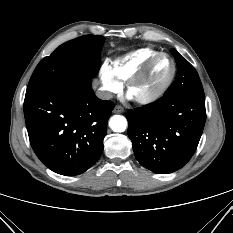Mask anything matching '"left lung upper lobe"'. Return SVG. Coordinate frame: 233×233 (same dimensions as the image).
I'll return each mask as SVG.
<instances>
[{
	"label": "left lung upper lobe",
	"instance_id": "5c2ea615",
	"mask_svg": "<svg viewBox=\"0 0 233 233\" xmlns=\"http://www.w3.org/2000/svg\"><path fill=\"white\" fill-rule=\"evenodd\" d=\"M172 51L177 63V75L175 81L165 92L164 96H204L203 87L195 68L175 49Z\"/></svg>",
	"mask_w": 233,
	"mask_h": 233
}]
</instances>
